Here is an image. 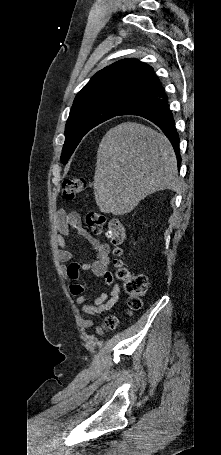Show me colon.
<instances>
[{
    "label": "colon",
    "instance_id": "1",
    "mask_svg": "<svg viewBox=\"0 0 221 455\" xmlns=\"http://www.w3.org/2000/svg\"><path fill=\"white\" fill-rule=\"evenodd\" d=\"M88 187V182L84 178L74 177L64 180L62 184V198L66 201L74 199ZM86 223L94 233H106L114 246L115 275L122 283L124 292L128 297V306L131 311H135L142 306V297L148 288V278L143 274H134L119 259L122 254V245L126 240V232L123 224L117 218H110L102 213L91 212L86 217ZM117 320L113 317L105 322L107 328L115 327Z\"/></svg>",
    "mask_w": 221,
    "mask_h": 455
}]
</instances>
